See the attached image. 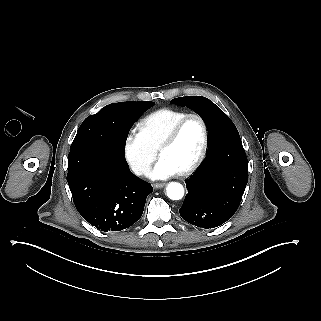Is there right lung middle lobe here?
Returning <instances> with one entry per match:
<instances>
[{
    "mask_svg": "<svg viewBox=\"0 0 321 321\" xmlns=\"http://www.w3.org/2000/svg\"><path fill=\"white\" fill-rule=\"evenodd\" d=\"M154 104V102H119L105 106L98 113L87 117L83 121L70 150L72 151L81 147H96L124 153L126 142L115 136L107 111L114 107L137 106L145 112Z\"/></svg>",
    "mask_w": 321,
    "mask_h": 321,
    "instance_id": "1",
    "label": "right lung middle lobe"
}]
</instances>
